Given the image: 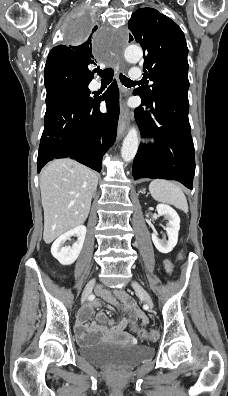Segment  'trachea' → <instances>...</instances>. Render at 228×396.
Here are the masks:
<instances>
[{
    "instance_id": "obj_1",
    "label": "trachea",
    "mask_w": 228,
    "mask_h": 396,
    "mask_svg": "<svg viewBox=\"0 0 228 396\" xmlns=\"http://www.w3.org/2000/svg\"><path fill=\"white\" fill-rule=\"evenodd\" d=\"M96 72L101 77V84L109 85V83H111L113 75H114V70L112 68H107L104 70L98 69V70H96ZM119 77H120L121 83L127 87L132 86L136 83L135 81H132L129 78H127L122 73H120Z\"/></svg>"
}]
</instances>
